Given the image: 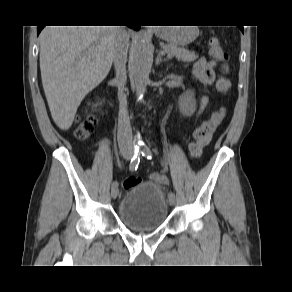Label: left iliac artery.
Segmentation results:
<instances>
[{
  "label": "left iliac artery",
  "mask_w": 292,
  "mask_h": 292,
  "mask_svg": "<svg viewBox=\"0 0 292 292\" xmlns=\"http://www.w3.org/2000/svg\"><path fill=\"white\" fill-rule=\"evenodd\" d=\"M140 150H141L142 156H144L147 159H152V153H151L150 149L147 146H145V145L140 146ZM174 196L175 195H174V193L172 191H170L168 193V197L169 198L174 197Z\"/></svg>",
  "instance_id": "left-iliac-artery-1"
}]
</instances>
